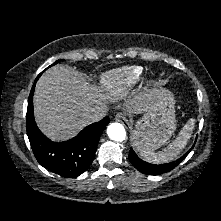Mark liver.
Here are the masks:
<instances>
[{
    "label": "liver",
    "instance_id": "obj_1",
    "mask_svg": "<svg viewBox=\"0 0 221 221\" xmlns=\"http://www.w3.org/2000/svg\"><path fill=\"white\" fill-rule=\"evenodd\" d=\"M151 91L134 92L127 101L132 112L144 111ZM107 111V97L67 65H56L39 78L34 93V115L39 129L53 141L77 135L86 116Z\"/></svg>",
    "mask_w": 221,
    "mask_h": 221
}]
</instances>
